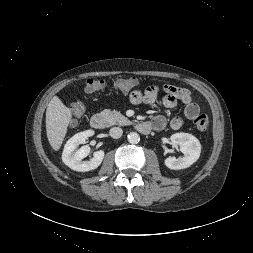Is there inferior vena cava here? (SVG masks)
Returning <instances> with one entry per match:
<instances>
[{
	"mask_svg": "<svg viewBox=\"0 0 253 253\" xmlns=\"http://www.w3.org/2000/svg\"><path fill=\"white\" fill-rule=\"evenodd\" d=\"M109 134L112 138L118 139L122 136L123 130L120 127H113L110 129Z\"/></svg>",
	"mask_w": 253,
	"mask_h": 253,
	"instance_id": "obj_1",
	"label": "inferior vena cava"
}]
</instances>
